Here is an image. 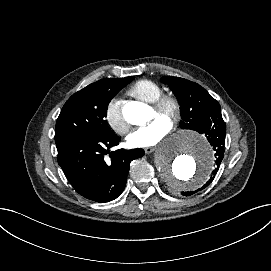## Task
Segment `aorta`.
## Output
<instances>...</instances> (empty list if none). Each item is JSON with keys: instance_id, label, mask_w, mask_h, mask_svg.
Returning <instances> with one entry per match:
<instances>
[{"instance_id": "1", "label": "aorta", "mask_w": 271, "mask_h": 271, "mask_svg": "<svg viewBox=\"0 0 271 271\" xmlns=\"http://www.w3.org/2000/svg\"><path fill=\"white\" fill-rule=\"evenodd\" d=\"M123 115L128 123L142 125L149 118V109L142 102H129L123 107ZM155 165L173 191L195 190L208 178L214 167V156L200 135L181 132L157 148Z\"/></svg>"}]
</instances>
